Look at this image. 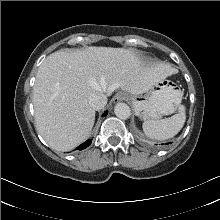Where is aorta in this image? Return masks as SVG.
<instances>
[{
	"label": "aorta",
	"instance_id": "obj_1",
	"mask_svg": "<svg viewBox=\"0 0 220 220\" xmlns=\"http://www.w3.org/2000/svg\"><path fill=\"white\" fill-rule=\"evenodd\" d=\"M115 115L120 119H128L131 115L130 107L125 103H117L114 107Z\"/></svg>",
	"mask_w": 220,
	"mask_h": 220
}]
</instances>
